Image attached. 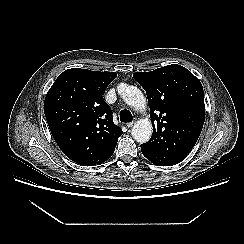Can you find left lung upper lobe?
Masks as SVG:
<instances>
[{
  "label": "left lung upper lobe",
  "mask_w": 244,
  "mask_h": 244,
  "mask_svg": "<svg viewBox=\"0 0 244 244\" xmlns=\"http://www.w3.org/2000/svg\"><path fill=\"white\" fill-rule=\"evenodd\" d=\"M133 77L146 91L153 124L151 139L141 145L143 155L159 166L179 163L196 144L205 121L201 82L178 64Z\"/></svg>",
  "instance_id": "obj_1"
}]
</instances>
